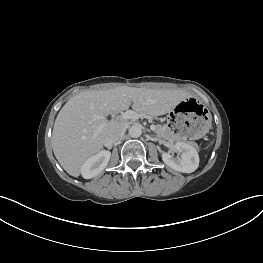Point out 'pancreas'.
<instances>
[{
    "label": "pancreas",
    "instance_id": "1",
    "mask_svg": "<svg viewBox=\"0 0 263 263\" xmlns=\"http://www.w3.org/2000/svg\"><path fill=\"white\" fill-rule=\"evenodd\" d=\"M155 133L157 134V136L167 140H171L175 138L173 131H171V129L166 125H156ZM189 144L198 148V145L195 142L190 141Z\"/></svg>",
    "mask_w": 263,
    "mask_h": 263
}]
</instances>
